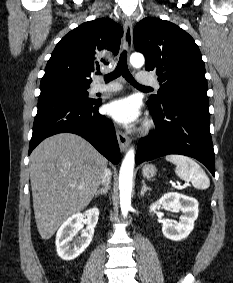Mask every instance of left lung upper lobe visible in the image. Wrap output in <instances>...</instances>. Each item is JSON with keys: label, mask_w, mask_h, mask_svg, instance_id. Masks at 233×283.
Segmentation results:
<instances>
[{"label": "left lung upper lobe", "mask_w": 233, "mask_h": 283, "mask_svg": "<svg viewBox=\"0 0 233 283\" xmlns=\"http://www.w3.org/2000/svg\"><path fill=\"white\" fill-rule=\"evenodd\" d=\"M133 38L136 51L146 58V70H155L161 84L149 103L160 106L187 93L207 96L204 62L188 33L169 21L147 17L135 26Z\"/></svg>", "instance_id": "5c2ea615"}]
</instances>
